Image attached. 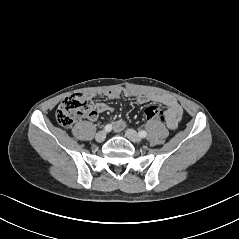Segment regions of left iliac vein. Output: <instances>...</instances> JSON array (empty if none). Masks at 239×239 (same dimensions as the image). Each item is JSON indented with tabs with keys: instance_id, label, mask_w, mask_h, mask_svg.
Wrapping results in <instances>:
<instances>
[{
	"instance_id": "left-iliac-vein-1",
	"label": "left iliac vein",
	"mask_w": 239,
	"mask_h": 239,
	"mask_svg": "<svg viewBox=\"0 0 239 239\" xmlns=\"http://www.w3.org/2000/svg\"><path fill=\"white\" fill-rule=\"evenodd\" d=\"M126 137L134 143H139L141 141V138L139 137V135L137 134V132L133 129H127L126 132Z\"/></svg>"
}]
</instances>
